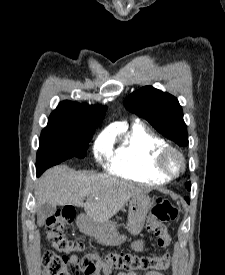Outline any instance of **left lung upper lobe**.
I'll list each match as a JSON object with an SVG mask.
<instances>
[{"label": "left lung upper lobe", "instance_id": "obj_1", "mask_svg": "<svg viewBox=\"0 0 225 275\" xmlns=\"http://www.w3.org/2000/svg\"><path fill=\"white\" fill-rule=\"evenodd\" d=\"M125 107L146 119L158 132L179 146L188 145L183 111L177 98L171 94L145 86L126 98ZM185 186L191 189L190 182Z\"/></svg>", "mask_w": 225, "mask_h": 275}]
</instances>
